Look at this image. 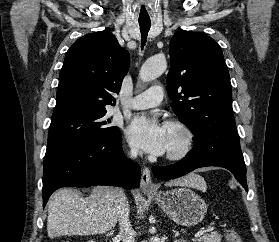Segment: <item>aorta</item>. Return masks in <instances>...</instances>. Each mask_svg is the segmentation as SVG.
<instances>
[{
	"instance_id": "762f6f07",
	"label": "aorta",
	"mask_w": 279,
	"mask_h": 242,
	"mask_svg": "<svg viewBox=\"0 0 279 242\" xmlns=\"http://www.w3.org/2000/svg\"><path fill=\"white\" fill-rule=\"evenodd\" d=\"M167 68V61L163 55H155L149 58L141 67L139 77L148 82L159 77Z\"/></svg>"
}]
</instances>
